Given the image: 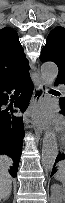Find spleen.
Masks as SVG:
<instances>
[{
	"label": "spleen",
	"mask_w": 65,
	"mask_h": 203,
	"mask_svg": "<svg viewBox=\"0 0 65 203\" xmlns=\"http://www.w3.org/2000/svg\"><path fill=\"white\" fill-rule=\"evenodd\" d=\"M55 178L62 182L63 184L65 183V167L64 164H60L59 169L55 175Z\"/></svg>",
	"instance_id": "1"
}]
</instances>
